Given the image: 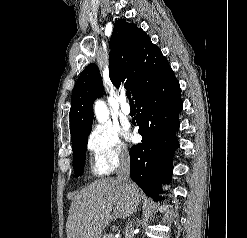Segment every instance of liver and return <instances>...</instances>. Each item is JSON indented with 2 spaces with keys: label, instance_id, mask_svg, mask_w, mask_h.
<instances>
[{
  "label": "liver",
  "instance_id": "6515ba94",
  "mask_svg": "<svg viewBox=\"0 0 247 238\" xmlns=\"http://www.w3.org/2000/svg\"><path fill=\"white\" fill-rule=\"evenodd\" d=\"M140 202L139 188L131 191L117 179H99L78 192L70 206L67 238H101L112 219H125Z\"/></svg>",
  "mask_w": 247,
  "mask_h": 238
}]
</instances>
